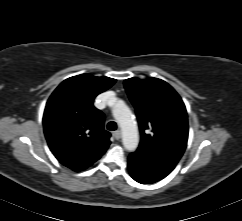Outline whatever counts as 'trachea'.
<instances>
[{"label": "trachea", "instance_id": "trachea-1", "mask_svg": "<svg viewBox=\"0 0 242 221\" xmlns=\"http://www.w3.org/2000/svg\"><path fill=\"white\" fill-rule=\"evenodd\" d=\"M107 129L110 130V131H114L117 129V124L116 122L114 121H110L108 124H107Z\"/></svg>", "mask_w": 242, "mask_h": 221}]
</instances>
